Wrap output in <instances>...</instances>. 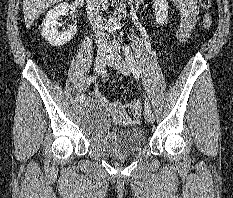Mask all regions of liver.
I'll use <instances>...</instances> for the list:
<instances>
[{"label":"liver","instance_id":"6515ba94","mask_svg":"<svg viewBox=\"0 0 233 198\" xmlns=\"http://www.w3.org/2000/svg\"><path fill=\"white\" fill-rule=\"evenodd\" d=\"M62 0H23V13L26 27L32 23L49 7Z\"/></svg>","mask_w":233,"mask_h":198}]
</instances>
